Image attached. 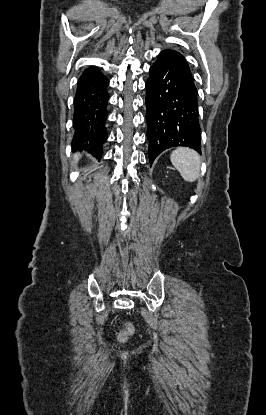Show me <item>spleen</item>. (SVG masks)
<instances>
[{"label": "spleen", "mask_w": 266, "mask_h": 415, "mask_svg": "<svg viewBox=\"0 0 266 415\" xmlns=\"http://www.w3.org/2000/svg\"><path fill=\"white\" fill-rule=\"evenodd\" d=\"M170 160L185 181L194 182L199 177L201 159L194 150L178 148L171 153Z\"/></svg>", "instance_id": "spleen-1"}]
</instances>
